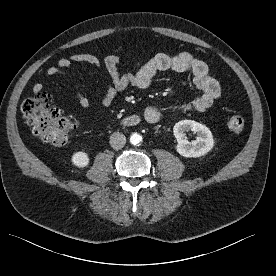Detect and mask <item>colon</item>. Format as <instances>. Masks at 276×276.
<instances>
[{"label": "colon", "instance_id": "5ec220e1", "mask_svg": "<svg viewBox=\"0 0 276 276\" xmlns=\"http://www.w3.org/2000/svg\"><path fill=\"white\" fill-rule=\"evenodd\" d=\"M21 113L34 135L53 145H64L70 139L75 121L62 116L61 110L51 104L50 95L39 91L25 98L20 106ZM245 127L242 115H232L228 121V129L239 134Z\"/></svg>", "mask_w": 276, "mask_h": 276}]
</instances>
